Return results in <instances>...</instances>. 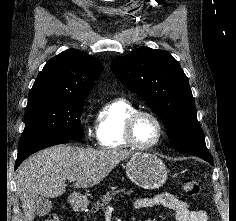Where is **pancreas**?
Listing matches in <instances>:
<instances>
[{"label":"pancreas","instance_id":"cf45deb5","mask_svg":"<svg viewBox=\"0 0 236 221\" xmlns=\"http://www.w3.org/2000/svg\"><path fill=\"white\" fill-rule=\"evenodd\" d=\"M121 193H127L125 192L124 189H117V187H113L111 191H107L103 197L100 199V201H98L96 204L93 205V207L91 208V214H92V218L93 221L98 220V214L101 215V211L105 209V207L112 201L115 199V196L117 194H121Z\"/></svg>","mask_w":236,"mask_h":221}]
</instances>
